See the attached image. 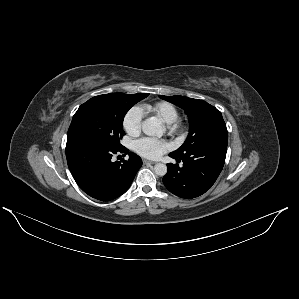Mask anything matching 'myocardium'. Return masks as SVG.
<instances>
[{"mask_svg":"<svg viewBox=\"0 0 299 299\" xmlns=\"http://www.w3.org/2000/svg\"><path fill=\"white\" fill-rule=\"evenodd\" d=\"M167 130L171 135L181 136L186 131V124L181 120H176L171 124H167Z\"/></svg>","mask_w":299,"mask_h":299,"instance_id":"obj_1","label":"myocardium"}]
</instances>
